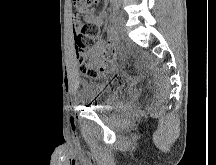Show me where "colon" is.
I'll return each mask as SVG.
<instances>
[{"instance_id":"obj_1","label":"colon","mask_w":216,"mask_h":165,"mask_svg":"<svg viewBox=\"0 0 216 165\" xmlns=\"http://www.w3.org/2000/svg\"><path fill=\"white\" fill-rule=\"evenodd\" d=\"M78 12L86 13L100 0H72ZM98 35V26L86 22L75 36V50L79 73L90 79L99 76L111 67L113 54L110 52L98 53L94 50L95 39Z\"/></svg>"}]
</instances>
